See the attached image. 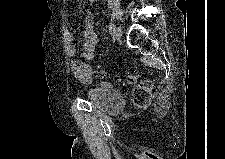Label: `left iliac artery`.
<instances>
[{
    "label": "left iliac artery",
    "mask_w": 225,
    "mask_h": 159,
    "mask_svg": "<svg viewBox=\"0 0 225 159\" xmlns=\"http://www.w3.org/2000/svg\"><path fill=\"white\" fill-rule=\"evenodd\" d=\"M110 33H112L114 31L115 25L114 24H110L108 26Z\"/></svg>",
    "instance_id": "left-iliac-artery-1"
}]
</instances>
